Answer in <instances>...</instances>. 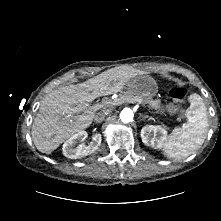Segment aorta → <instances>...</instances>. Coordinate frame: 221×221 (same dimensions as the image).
Here are the masks:
<instances>
[{
	"label": "aorta",
	"mask_w": 221,
	"mask_h": 221,
	"mask_svg": "<svg viewBox=\"0 0 221 221\" xmlns=\"http://www.w3.org/2000/svg\"><path fill=\"white\" fill-rule=\"evenodd\" d=\"M134 113L130 108H124L120 113V119L124 123H129L133 120Z\"/></svg>",
	"instance_id": "aorta-1"
}]
</instances>
